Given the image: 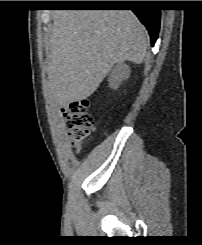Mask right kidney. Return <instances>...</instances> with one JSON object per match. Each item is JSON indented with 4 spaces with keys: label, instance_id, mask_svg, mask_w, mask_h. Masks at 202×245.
Masks as SVG:
<instances>
[{
    "label": "right kidney",
    "instance_id": "obj_1",
    "mask_svg": "<svg viewBox=\"0 0 202 245\" xmlns=\"http://www.w3.org/2000/svg\"><path fill=\"white\" fill-rule=\"evenodd\" d=\"M130 75V68L128 65L119 63L111 72L109 76V85L111 88L116 89L123 80L127 79Z\"/></svg>",
    "mask_w": 202,
    "mask_h": 245
}]
</instances>
